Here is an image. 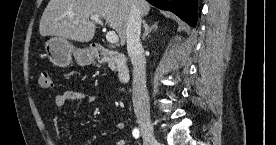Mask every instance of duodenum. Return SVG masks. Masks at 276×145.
I'll use <instances>...</instances> for the list:
<instances>
[{"mask_svg": "<svg viewBox=\"0 0 276 145\" xmlns=\"http://www.w3.org/2000/svg\"><path fill=\"white\" fill-rule=\"evenodd\" d=\"M94 54L98 61L113 62L120 83L124 84L129 80L130 71L126 64V58L121 52L107 49L101 45H96L94 47Z\"/></svg>", "mask_w": 276, "mask_h": 145, "instance_id": "410a0bca", "label": "duodenum"}]
</instances>
